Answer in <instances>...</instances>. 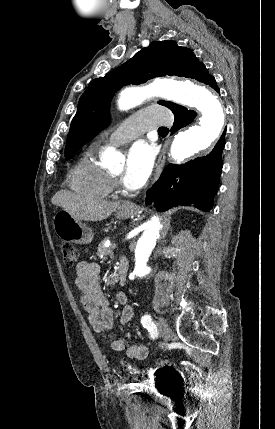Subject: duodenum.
Segmentation results:
<instances>
[{
	"label": "duodenum",
	"mask_w": 275,
	"mask_h": 429,
	"mask_svg": "<svg viewBox=\"0 0 275 429\" xmlns=\"http://www.w3.org/2000/svg\"><path fill=\"white\" fill-rule=\"evenodd\" d=\"M127 271H128L127 261H125V260L120 261V263L117 267V278H118V282L121 286H123L126 282Z\"/></svg>",
	"instance_id": "obj_1"
}]
</instances>
